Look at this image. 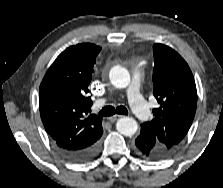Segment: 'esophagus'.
<instances>
[{
	"label": "esophagus",
	"instance_id": "34e87169",
	"mask_svg": "<svg viewBox=\"0 0 223 188\" xmlns=\"http://www.w3.org/2000/svg\"><path fill=\"white\" fill-rule=\"evenodd\" d=\"M122 117H124V116H122V115H114V116L108 118V120L110 122H115L117 119L122 118Z\"/></svg>",
	"mask_w": 223,
	"mask_h": 188
}]
</instances>
